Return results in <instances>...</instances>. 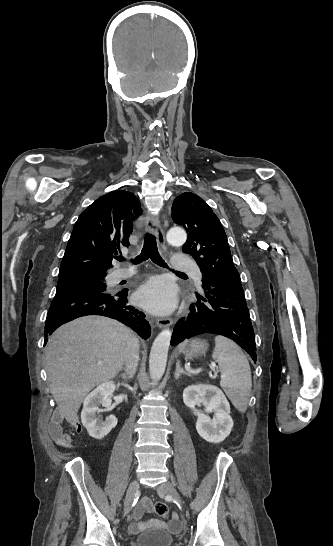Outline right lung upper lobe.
Segmentation results:
<instances>
[{
	"label": "right lung upper lobe",
	"mask_w": 333,
	"mask_h": 546,
	"mask_svg": "<svg viewBox=\"0 0 333 546\" xmlns=\"http://www.w3.org/2000/svg\"><path fill=\"white\" fill-rule=\"evenodd\" d=\"M129 208V209H128ZM139 200L116 190L94 201L79 216L63 256L59 280L106 275L113 254L129 245L132 220L141 214Z\"/></svg>",
	"instance_id": "1"
}]
</instances>
